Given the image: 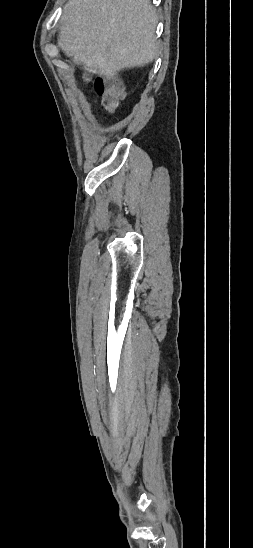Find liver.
Returning a JSON list of instances; mask_svg holds the SVG:
<instances>
[{
    "label": "liver",
    "instance_id": "obj_1",
    "mask_svg": "<svg viewBox=\"0 0 253 548\" xmlns=\"http://www.w3.org/2000/svg\"><path fill=\"white\" fill-rule=\"evenodd\" d=\"M64 51L84 68L114 77L157 56V15L150 0H69L63 10Z\"/></svg>",
    "mask_w": 253,
    "mask_h": 548
}]
</instances>
